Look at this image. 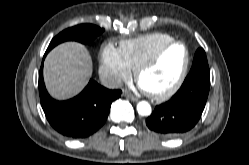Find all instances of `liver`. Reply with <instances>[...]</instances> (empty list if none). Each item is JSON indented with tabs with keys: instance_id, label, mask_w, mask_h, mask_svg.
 Instances as JSON below:
<instances>
[{
	"instance_id": "obj_1",
	"label": "liver",
	"mask_w": 249,
	"mask_h": 165,
	"mask_svg": "<svg viewBox=\"0 0 249 165\" xmlns=\"http://www.w3.org/2000/svg\"><path fill=\"white\" fill-rule=\"evenodd\" d=\"M91 75V56L80 43H62L45 59V84L51 96L58 100L77 95L86 86Z\"/></svg>"
}]
</instances>
